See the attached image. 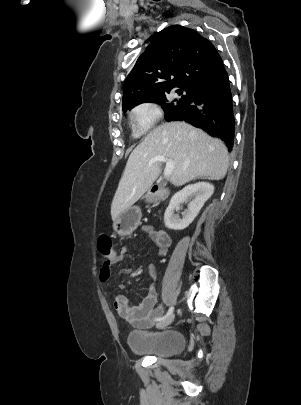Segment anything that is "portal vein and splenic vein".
<instances>
[{
    "label": "portal vein and splenic vein",
    "mask_w": 301,
    "mask_h": 405,
    "mask_svg": "<svg viewBox=\"0 0 301 405\" xmlns=\"http://www.w3.org/2000/svg\"><path fill=\"white\" fill-rule=\"evenodd\" d=\"M156 162H166V166L164 169V177L165 178L170 177V175L172 174L173 169H174V162L172 160L168 159L167 157H165L164 155H158L149 161V165H152Z\"/></svg>",
    "instance_id": "portal-vein-and-splenic-vein-1"
}]
</instances>
